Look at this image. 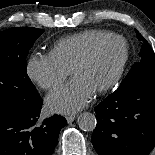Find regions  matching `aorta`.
<instances>
[{
    "label": "aorta",
    "instance_id": "aorta-1",
    "mask_svg": "<svg viewBox=\"0 0 155 155\" xmlns=\"http://www.w3.org/2000/svg\"><path fill=\"white\" fill-rule=\"evenodd\" d=\"M77 123L80 129L84 131H93L97 125V120L94 114L83 112L79 115Z\"/></svg>",
    "mask_w": 155,
    "mask_h": 155
}]
</instances>
